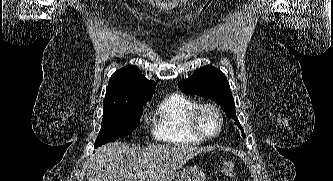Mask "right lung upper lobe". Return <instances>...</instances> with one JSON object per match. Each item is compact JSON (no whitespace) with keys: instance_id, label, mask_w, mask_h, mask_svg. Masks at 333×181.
I'll list each match as a JSON object with an SVG mask.
<instances>
[{"instance_id":"1","label":"right lung upper lobe","mask_w":333,"mask_h":181,"mask_svg":"<svg viewBox=\"0 0 333 181\" xmlns=\"http://www.w3.org/2000/svg\"><path fill=\"white\" fill-rule=\"evenodd\" d=\"M155 87L156 83L147 80L136 66H125L111 76L103 110L146 103L152 98Z\"/></svg>"}]
</instances>
